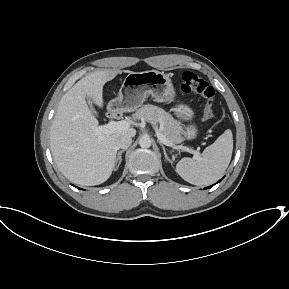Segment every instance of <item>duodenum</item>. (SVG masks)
<instances>
[{
  "instance_id": "obj_1",
  "label": "duodenum",
  "mask_w": 289,
  "mask_h": 289,
  "mask_svg": "<svg viewBox=\"0 0 289 289\" xmlns=\"http://www.w3.org/2000/svg\"><path fill=\"white\" fill-rule=\"evenodd\" d=\"M108 117L111 119H118L121 117V112L116 108H110L108 110Z\"/></svg>"
}]
</instances>
